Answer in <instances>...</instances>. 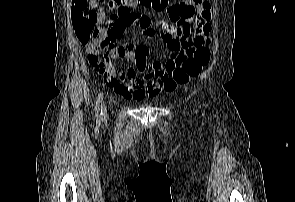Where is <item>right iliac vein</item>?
I'll use <instances>...</instances> for the list:
<instances>
[{"instance_id": "1", "label": "right iliac vein", "mask_w": 295, "mask_h": 202, "mask_svg": "<svg viewBox=\"0 0 295 202\" xmlns=\"http://www.w3.org/2000/svg\"><path fill=\"white\" fill-rule=\"evenodd\" d=\"M102 112H103V114H105V112H106V105L104 104V106H103V110H102Z\"/></svg>"}]
</instances>
